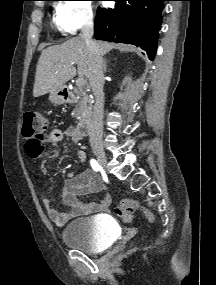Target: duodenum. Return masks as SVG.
Wrapping results in <instances>:
<instances>
[{
	"mask_svg": "<svg viewBox=\"0 0 216 285\" xmlns=\"http://www.w3.org/2000/svg\"><path fill=\"white\" fill-rule=\"evenodd\" d=\"M62 95L67 101L72 99L71 93L66 89L62 92ZM77 128L82 135H88L92 131L93 113L91 110L87 111V113L81 118Z\"/></svg>",
	"mask_w": 216,
	"mask_h": 285,
	"instance_id": "410a0bca",
	"label": "duodenum"
}]
</instances>
